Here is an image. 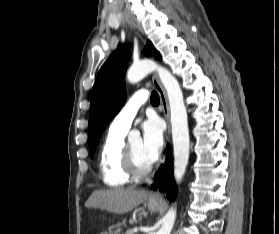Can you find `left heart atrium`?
Masks as SVG:
<instances>
[{
    "mask_svg": "<svg viewBox=\"0 0 279 234\" xmlns=\"http://www.w3.org/2000/svg\"><path fill=\"white\" fill-rule=\"evenodd\" d=\"M142 145L147 156L156 160L163 146V130L160 122L151 118L142 124Z\"/></svg>",
    "mask_w": 279,
    "mask_h": 234,
    "instance_id": "39dd6f15",
    "label": "left heart atrium"
}]
</instances>
